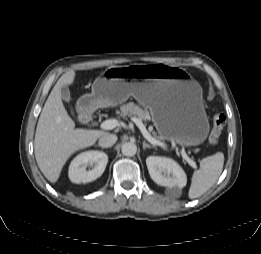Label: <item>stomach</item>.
<instances>
[{
    "label": "stomach",
    "instance_id": "obj_1",
    "mask_svg": "<svg viewBox=\"0 0 261 254\" xmlns=\"http://www.w3.org/2000/svg\"><path fill=\"white\" fill-rule=\"evenodd\" d=\"M130 96L149 108L161 140L197 146L207 138L202 89L186 69L167 64L109 67L81 99L95 109L117 106Z\"/></svg>",
    "mask_w": 261,
    "mask_h": 254
}]
</instances>
